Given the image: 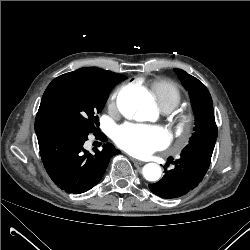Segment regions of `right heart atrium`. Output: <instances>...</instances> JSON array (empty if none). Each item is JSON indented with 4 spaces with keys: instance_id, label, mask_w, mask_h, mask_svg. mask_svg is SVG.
<instances>
[{
    "instance_id": "1",
    "label": "right heart atrium",
    "mask_w": 250,
    "mask_h": 250,
    "mask_svg": "<svg viewBox=\"0 0 250 250\" xmlns=\"http://www.w3.org/2000/svg\"><path fill=\"white\" fill-rule=\"evenodd\" d=\"M116 97H117V92H114V93L109 97L108 105H109L111 108H115V107H116Z\"/></svg>"
}]
</instances>
